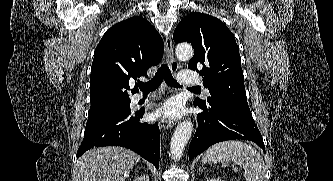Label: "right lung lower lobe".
Wrapping results in <instances>:
<instances>
[{
  "mask_svg": "<svg viewBox=\"0 0 333 181\" xmlns=\"http://www.w3.org/2000/svg\"><path fill=\"white\" fill-rule=\"evenodd\" d=\"M143 114L144 111L131 113L128 109L101 122L86 126L77 157L94 147L122 146L138 153L158 169L160 131L157 124L141 123Z\"/></svg>",
  "mask_w": 333,
  "mask_h": 181,
  "instance_id": "98d812e1",
  "label": "right lung lower lobe"
}]
</instances>
